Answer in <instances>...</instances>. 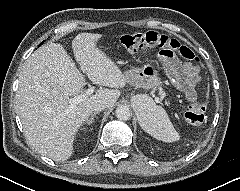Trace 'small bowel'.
<instances>
[{
  "label": "small bowel",
  "instance_id": "small-bowel-1",
  "mask_svg": "<svg viewBox=\"0 0 240 191\" xmlns=\"http://www.w3.org/2000/svg\"><path fill=\"white\" fill-rule=\"evenodd\" d=\"M170 70L175 79V84L186 94L192 103L196 100L195 86L199 82V67L190 63L180 64L172 62Z\"/></svg>",
  "mask_w": 240,
  "mask_h": 191
}]
</instances>
